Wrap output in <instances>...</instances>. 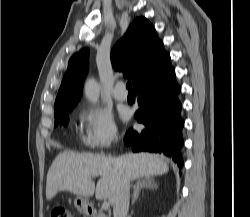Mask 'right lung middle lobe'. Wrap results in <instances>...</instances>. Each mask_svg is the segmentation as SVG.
I'll return each instance as SVG.
<instances>
[{
	"label": "right lung middle lobe",
	"instance_id": "dd1d6c3e",
	"mask_svg": "<svg viewBox=\"0 0 250 217\" xmlns=\"http://www.w3.org/2000/svg\"><path fill=\"white\" fill-rule=\"evenodd\" d=\"M70 112V111H68ZM68 112H63L60 113L58 115H55V126H57L58 124H64L65 126L68 123Z\"/></svg>",
	"mask_w": 250,
	"mask_h": 217
}]
</instances>
